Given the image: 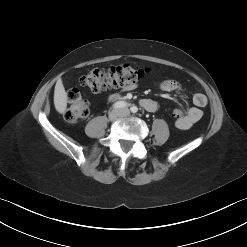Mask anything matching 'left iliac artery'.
<instances>
[{
	"label": "left iliac artery",
	"instance_id": "obj_1",
	"mask_svg": "<svg viewBox=\"0 0 247 247\" xmlns=\"http://www.w3.org/2000/svg\"><path fill=\"white\" fill-rule=\"evenodd\" d=\"M130 110L132 113H136L138 111V108L136 106H132Z\"/></svg>",
	"mask_w": 247,
	"mask_h": 247
}]
</instances>
